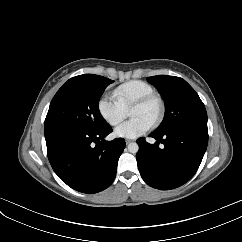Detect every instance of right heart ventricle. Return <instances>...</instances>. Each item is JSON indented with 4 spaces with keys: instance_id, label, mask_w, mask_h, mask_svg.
Listing matches in <instances>:
<instances>
[{
    "instance_id": "1",
    "label": "right heart ventricle",
    "mask_w": 242,
    "mask_h": 242,
    "mask_svg": "<svg viewBox=\"0 0 242 242\" xmlns=\"http://www.w3.org/2000/svg\"><path fill=\"white\" fill-rule=\"evenodd\" d=\"M153 92L152 86L147 82L132 80L116 88L114 96L119 103L128 110L136 100Z\"/></svg>"
}]
</instances>
